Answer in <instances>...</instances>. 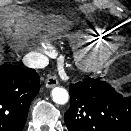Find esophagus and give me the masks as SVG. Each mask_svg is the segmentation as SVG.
I'll use <instances>...</instances> for the list:
<instances>
[{
    "label": "esophagus",
    "mask_w": 131,
    "mask_h": 131,
    "mask_svg": "<svg viewBox=\"0 0 131 131\" xmlns=\"http://www.w3.org/2000/svg\"><path fill=\"white\" fill-rule=\"evenodd\" d=\"M58 85V79L55 76H49L45 81V86L47 88H53Z\"/></svg>",
    "instance_id": "1"
}]
</instances>
